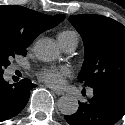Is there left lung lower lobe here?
Listing matches in <instances>:
<instances>
[{
	"label": "left lung lower lobe",
	"instance_id": "1",
	"mask_svg": "<svg viewBox=\"0 0 125 125\" xmlns=\"http://www.w3.org/2000/svg\"><path fill=\"white\" fill-rule=\"evenodd\" d=\"M93 93L76 113L64 116L70 125H114L125 115V84H101Z\"/></svg>",
	"mask_w": 125,
	"mask_h": 125
}]
</instances>
